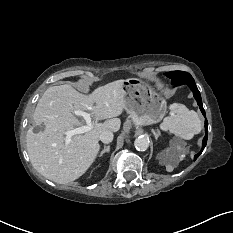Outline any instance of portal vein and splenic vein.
Instances as JSON below:
<instances>
[{
	"label": "portal vein and splenic vein",
	"instance_id": "1",
	"mask_svg": "<svg viewBox=\"0 0 233 233\" xmlns=\"http://www.w3.org/2000/svg\"><path fill=\"white\" fill-rule=\"evenodd\" d=\"M74 113L77 116L83 117L84 120L86 121V125L72 129V130L65 131L64 134L66 135V143H69L71 141V138L74 135L83 134L92 129V121H91V117L89 113L84 112V111H78V110L74 111Z\"/></svg>",
	"mask_w": 233,
	"mask_h": 233
}]
</instances>
